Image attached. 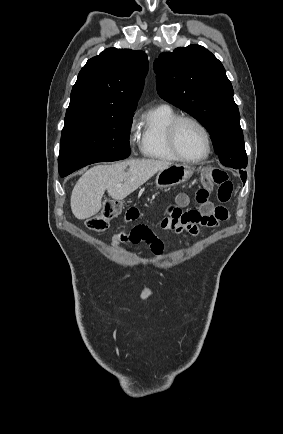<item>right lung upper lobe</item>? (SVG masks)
<instances>
[{
    "instance_id": "right-lung-upper-lobe-1",
    "label": "right lung upper lobe",
    "mask_w": 283,
    "mask_h": 434,
    "mask_svg": "<svg viewBox=\"0 0 283 434\" xmlns=\"http://www.w3.org/2000/svg\"><path fill=\"white\" fill-rule=\"evenodd\" d=\"M148 66L141 50L105 49L81 69L65 119L134 114Z\"/></svg>"
}]
</instances>
